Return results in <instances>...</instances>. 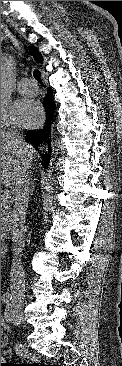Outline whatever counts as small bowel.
Wrapping results in <instances>:
<instances>
[{
  "label": "small bowel",
  "instance_id": "c3829d8e",
  "mask_svg": "<svg viewBox=\"0 0 122 366\" xmlns=\"http://www.w3.org/2000/svg\"><path fill=\"white\" fill-rule=\"evenodd\" d=\"M1 325H2V326H5V323L1 321Z\"/></svg>",
  "mask_w": 122,
  "mask_h": 366
}]
</instances>
